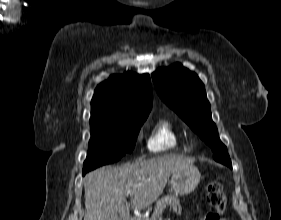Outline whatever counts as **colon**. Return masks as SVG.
Returning a JSON list of instances; mask_svg holds the SVG:
<instances>
[{
  "label": "colon",
  "instance_id": "5ec220e1",
  "mask_svg": "<svg viewBox=\"0 0 281 220\" xmlns=\"http://www.w3.org/2000/svg\"><path fill=\"white\" fill-rule=\"evenodd\" d=\"M207 201L212 211L203 220H226L224 213L226 211L227 197L223 188L222 178L215 179L208 184Z\"/></svg>",
  "mask_w": 281,
  "mask_h": 220
}]
</instances>
